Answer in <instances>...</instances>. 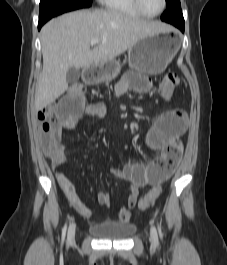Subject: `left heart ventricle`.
Segmentation results:
<instances>
[{"label": "left heart ventricle", "instance_id": "b2bd125f", "mask_svg": "<svg viewBox=\"0 0 227 265\" xmlns=\"http://www.w3.org/2000/svg\"><path fill=\"white\" fill-rule=\"evenodd\" d=\"M143 10L148 14L157 13L162 7V0H140Z\"/></svg>", "mask_w": 227, "mask_h": 265}]
</instances>
